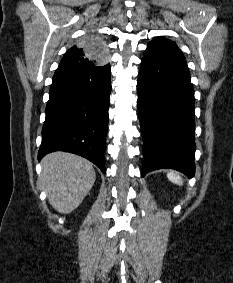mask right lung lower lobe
Returning a JSON list of instances; mask_svg holds the SVG:
<instances>
[{
    "instance_id": "obj_1",
    "label": "right lung lower lobe",
    "mask_w": 233,
    "mask_h": 283,
    "mask_svg": "<svg viewBox=\"0 0 233 283\" xmlns=\"http://www.w3.org/2000/svg\"><path fill=\"white\" fill-rule=\"evenodd\" d=\"M110 92L109 64L59 67L50 87L38 159L54 151L71 152L105 173Z\"/></svg>"
}]
</instances>
